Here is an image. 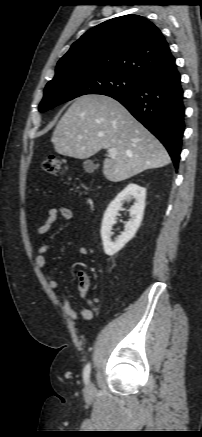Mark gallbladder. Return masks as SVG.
I'll use <instances>...</instances> for the list:
<instances>
[{"mask_svg": "<svg viewBox=\"0 0 202 437\" xmlns=\"http://www.w3.org/2000/svg\"><path fill=\"white\" fill-rule=\"evenodd\" d=\"M84 168H85L87 171H92V170L95 169V165L93 164L92 161H85V162H84Z\"/></svg>", "mask_w": 202, "mask_h": 437, "instance_id": "gallbladder-1", "label": "gallbladder"}]
</instances>
